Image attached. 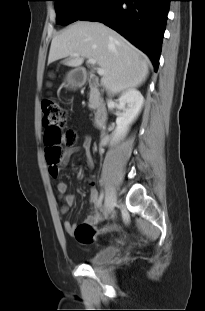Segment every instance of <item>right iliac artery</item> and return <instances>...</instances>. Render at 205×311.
Instances as JSON below:
<instances>
[{"label": "right iliac artery", "instance_id": "1", "mask_svg": "<svg viewBox=\"0 0 205 311\" xmlns=\"http://www.w3.org/2000/svg\"><path fill=\"white\" fill-rule=\"evenodd\" d=\"M103 198H104V194H103V192H101L100 195H99V199H98L99 205L102 204Z\"/></svg>", "mask_w": 205, "mask_h": 311}]
</instances>
